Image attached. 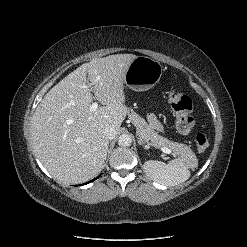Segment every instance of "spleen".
<instances>
[{
    "label": "spleen",
    "instance_id": "1",
    "mask_svg": "<svg viewBox=\"0 0 247 247\" xmlns=\"http://www.w3.org/2000/svg\"><path fill=\"white\" fill-rule=\"evenodd\" d=\"M144 172L151 180L166 186L179 185L191 175L189 165L182 158L173 159L168 164L156 160L146 161Z\"/></svg>",
    "mask_w": 247,
    "mask_h": 247
}]
</instances>
